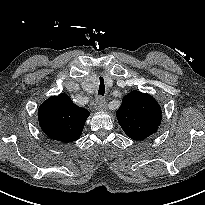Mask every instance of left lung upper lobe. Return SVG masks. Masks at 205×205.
I'll list each match as a JSON object with an SVG mask.
<instances>
[{
	"mask_svg": "<svg viewBox=\"0 0 205 205\" xmlns=\"http://www.w3.org/2000/svg\"><path fill=\"white\" fill-rule=\"evenodd\" d=\"M121 128L133 140H143L154 134L161 123V108L149 94L132 91L116 112Z\"/></svg>",
	"mask_w": 205,
	"mask_h": 205,
	"instance_id": "obj_1",
	"label": "left lung upper lobe"
}]
</instances>
